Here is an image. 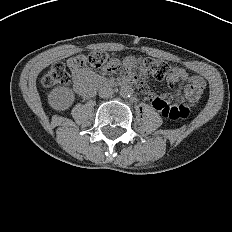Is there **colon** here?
<instances>
[{
    "mask_svg": "<svg viewBox=\"0 0 232 232\" xmlns=\"http://www.w3.org/2000/svg\"><path fill=\"white\" fill-rule=\"evenodd\" d=\"M77 63L84 65L89 64L91 67L101 69L107 73L114 72L118 66V62L103 51H93L86 57H77ZM139 65L142 69V73L149 75L157 80H162L167 77L171 71V66L161 60L153 58H140ZM70 80L69 74L63 63L53 64L43 77V84L47 87L56 85H63ZM203 89L191 84L184 87V95L186 103L172 102L169 95H163L156 101L157 105H162V114L169 119H183L189 114V106H193L198 103L201 98Z\"/></svg>",
    "mask_w": 232,
    "mask_h": 232,
    "instance_id": "1",
    "label": "colon"
}]
</instances>
